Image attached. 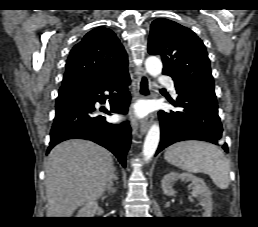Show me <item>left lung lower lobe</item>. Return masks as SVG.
<instances>
[{
  "label": "left lung lower lobe",
  "instance_id": "1",
  "mask_svg": "<svg viewBox=\"0 0 258 227\" xmlns=\"http://www.w3.org/2000/svg\"><path fill=\"white\" fill-rule=\"evenodd\" d=\"M175 88L177 102H170L182 110L169 113L159 111L161 140L156 154L184 140L207 141L222 146L228 152L227 145L221 144L223 128L214 90L182 84H175Z\"/></svg>",
  "mask_w": 258,
  "mask_h": 227
}]
</instances>
